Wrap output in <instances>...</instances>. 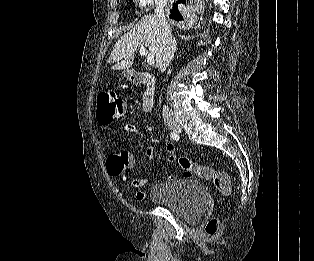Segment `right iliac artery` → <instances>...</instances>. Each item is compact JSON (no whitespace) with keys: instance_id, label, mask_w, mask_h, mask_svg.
<instances>
[{"instance_id":"obj_1","label":"right iliac artery","mask_w":314,"mask_h":261,"mask_svg":"<svg viewBox=\"0 0 314 261\" xmlns=\"http://www.w3.org/2000/svg\"><path fill=\"white\" fill-rule=\"evenodd\" d=\"M170 136H171V138H172L173 140H176V141L179 140V138H180L179 135H177V134L174 133V132H173V133L171 132V133H170Z\"/></svg>"}]
</instances>
